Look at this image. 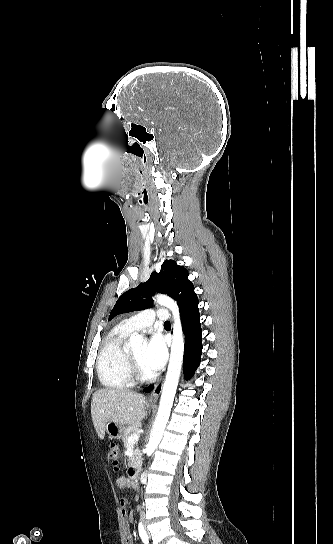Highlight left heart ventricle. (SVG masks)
Segmentation results:
<instances>
[{"label": "left heart ventricle", "mask_w": 333, "mask_h": 544, "mask_svg": "<svg viewBox=\"0 0 333 544\" xmlns=\"http://www.w3.org/2000/svg\"><path fill=\"white\" fill-rule=\"evenodd\" d=\"M144 352H145V347L132 349V353L135 356V358L137 359V361H138L140 367L142 368V370L144 372H146V373H149V371L144 367L143 362H142V357H143Z\"/></svg>", "instance_id": "1"}]
</instances>
